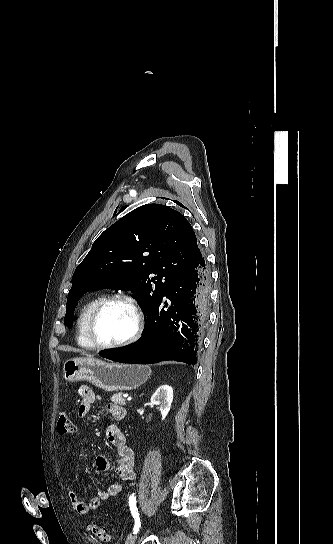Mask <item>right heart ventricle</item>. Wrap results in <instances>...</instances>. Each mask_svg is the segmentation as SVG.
Wrapping results in <instances>:
<instances>
[{
	"mask_svg": "<svg viewBox=\"0 0 333 544\" xmlns=\"http://www.w3.org/2000/svg\"><path fill=\"white\" fill-rule=\"evenodd\" d=\"M102 299L101 296H94L87 300L81 307L76 320V341L80 347L86 349L95 348L87 336V321L90 313L96 304Z\"/></svg>",
	"mask_w": 333,
	"mask_h": 544,
	"instance_id": "e07e8e85",
	"label": "right heart ventricle"
}]
</instances>
